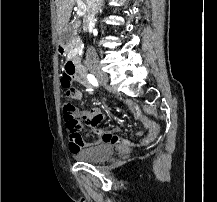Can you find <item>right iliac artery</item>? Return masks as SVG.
<instances>
[{
    "label": "right iliac artery",
    "mask_w": 217,
    "mask_h": 202,
    "mask_svg": "<svg viewBox=\"0 0 217 202\" xmlns=\"http://www.w3.org/2000/svg\"><path fill=\"white\" fill-rule=\"evenodd\" d=\"M88 80L93 86H98V81L92 74H88Z\"/></svg>",
    "instance_id": "right-iliac-artery-1"
}]
</instances>
